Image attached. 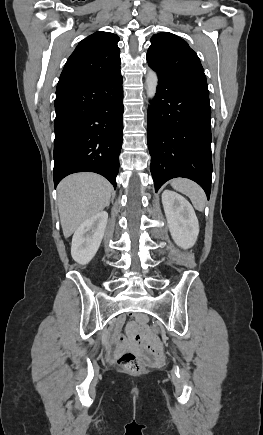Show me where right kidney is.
I'll return each mask as SVG.
<instances>
[{"mask_svg":"<svg viewBox=\"0 0 263 435\" xmlns=\"http://www.w3.org/2000/svg\"><path fill=\"white\" fill-rule=\"evenodd\" d=\"M108 213L101 211L84 221L72 238L71 255L79 264H87L99 249L107 225Z\"/></svg>","mask_w":263,"mask_h":435,"instance_id":"right-kidney-1","label":"right kidney"}]
</instances>
